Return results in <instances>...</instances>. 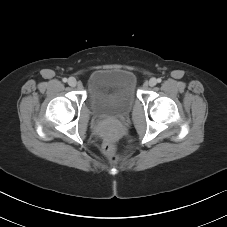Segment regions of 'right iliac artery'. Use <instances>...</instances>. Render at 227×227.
I'll list each match as a JSON object with an SVG mask.
<instances>
[{"mask_svg":"<svg viewBox=\"0 0 227 227\" xmlns=\"http://www.w3.org/2000/svg\"><path fill=\"white\" fill-rule=\"evenodd\" d=\"M64 83H66L67 82V78H63V80H62Z\"/></svg>","mask_w":227,"mask_h":227,"instance_id":"obj_1","label":"right iliac artery"}]
</instances>
